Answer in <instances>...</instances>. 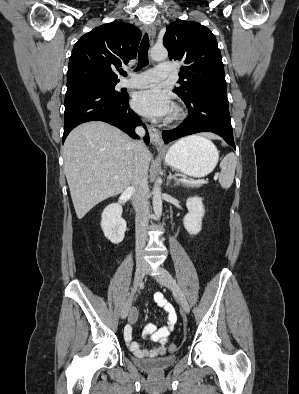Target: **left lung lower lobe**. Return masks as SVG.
<instances>
[{
  "label": "left lung lower lobe",
  "instance_id": "obj_1",
  "mask_svg": "<svg viewBox=\"0 0 299 394\" xmlns=\"http://www.w3.org/2000/svg\"><path fill=\"white\" fill-rule=\"evenodd\" d=\"M184 102L189 115L179 127L163 131L166 144L183 136L208 131L220 135L235 148L226 86L200 87Z\"/></svg>",
  "mask_w": 299,
  "mask_h": 394
}]
</instances>
